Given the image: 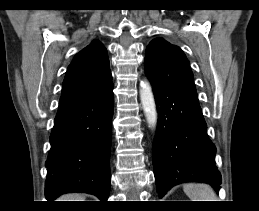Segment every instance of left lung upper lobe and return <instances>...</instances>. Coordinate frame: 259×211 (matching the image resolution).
<instances>
[{"mask_svg":"<svg viewBox=\"0 0 259 211\" xmlns=\"http://www.w3.org/2000/svg\"><path fill=\"white\" fill-rule=\"evenodd\" d=\"M144 69L154 85L196 94L193 74L183 51L162 38L152 40L147 46Z\"/></svg>","mask_w":259,"mask_h":211,"instance_id":"5c2ea615","label":"left lung upper lobe"}]
</instances>
